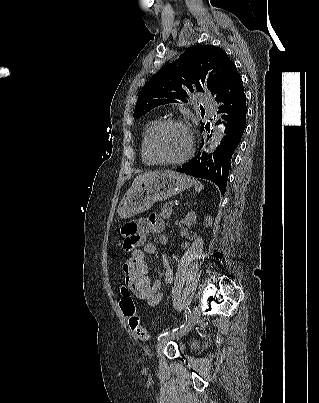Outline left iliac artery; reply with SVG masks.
Returning a JSON list of instances; mask_svg holds the SVG:
<instances>
[{
    "mask_svg": "<svg viewBox=\"0 0 319 403\" xmlns=\"http://www.w3.org/2000/svg\"><path fill=\"white\" fill-rule=\"evenodd\" d=\"M190 317H191L190 308H186L185 309V322H184V324H182L180 327H177V328L173 329L172 331L164 332V333L160 334L158 336V340H161L162 338H164L166 336L173 335L174 333L180 331L182 328H184L186 323L189 321Z\"/></svg>",
    "mask_w": 319,
    "mask_h": 403,
    "instance_id": "left-iliac-artery-1",
    "label": "left iliac artery"
}]
</instances>
